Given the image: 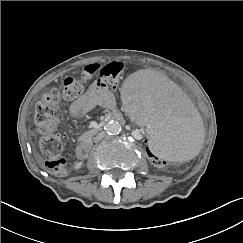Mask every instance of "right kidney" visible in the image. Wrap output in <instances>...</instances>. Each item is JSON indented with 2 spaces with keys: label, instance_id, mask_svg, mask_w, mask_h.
Here are the masks:
<instances>
[{
  "label": "right kidney",
  "instance_id": "1",
  "mask_svg": "<svg viewBox=\"0 0 243 243\" xmlns=\"http://www.w3.org/2000/svg\"><path fill=\"white\" fill-rule=\"evenodd\" d=\"M82 165H83L82 161L81 162H76L75 165H74V168L77 170V169L81 168Z\"/></svg>",
  "mask_w": 243,
  "mask_h": 243
}]
</instances>
